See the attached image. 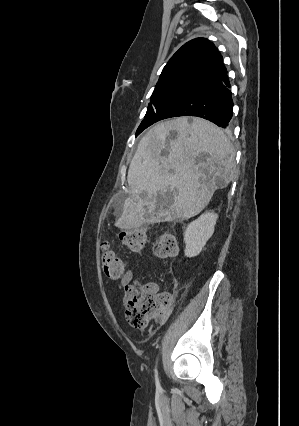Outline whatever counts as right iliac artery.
<instances>
[{
    "label": "right iliac artery",
    "mask_w": 299,
    "mask_h": 426,
    "mask_svg": "<svg viewBox=\"0 0 299 426\" xmlns=\"http://www.w3.org/2000/svg\"><path fill=\"white\" fill-rule=\"evenodd\" d=\"M155 381H156V387H157V389L160 390L161 387H160V383H159V379H158L157 368H155Z\"/></svg>",
    "instance_id": "obj_1"
}]
</instances>
